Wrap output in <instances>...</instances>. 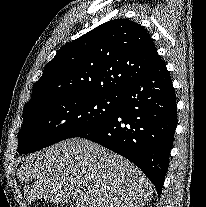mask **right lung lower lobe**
<instances>
[{"label": "right lung lower lobe", "instance_id": "obj_1", "mask_svg": "<svg viewBox=\"0 0 206 207\" xmlns=\"http://www.w3.org/2000/svg\"><path fill=\"white\" fill-rule=\"evenodd\" d=\"M117 111L77 137L94 141L137 165L162 192L177 123L176 95L160 59L119 94Z\"/></svg>", "mask_w": 206, "mask_h": 207}]
</instances>
